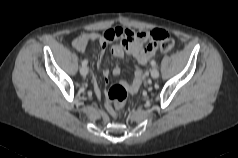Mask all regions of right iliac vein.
<instances>
[{"instance_id":"1","label":"right iliac vein","mask_w":238,"mask_h":158,"mask_svg":"<svg viewBox=\"0 0 238 158\" xmlns=\"http://www.w3.org/2000/svg\"><path fill=\"white\" fill-rule=\"evenodd\" d=\"M80 73H81V75L86 76L88 74V67L87 66H82L80 68Z\"/></svg>"}]
</instances>
